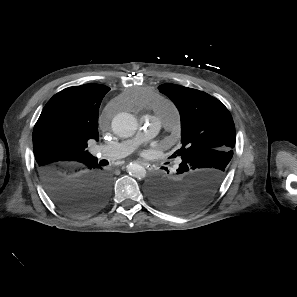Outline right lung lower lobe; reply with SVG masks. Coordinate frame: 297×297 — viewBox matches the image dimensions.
<instances>
[{"instance_id": "98d812e1", "label": "right lung lower lobe", "mask_w": 297, "mask_h": 297, "mask_svg": "<svg viewBox=\"0 0 297 297\" xmlns=\"http://www.w3.org/2000/svg\"><path fill=\"white\" fill-rule=\"evenodd\" d=\"M38 172L53 202L69 214H91L108 201L110 179L96 158L79 165L40 168Z\"/></svg>"}]
</instances>
